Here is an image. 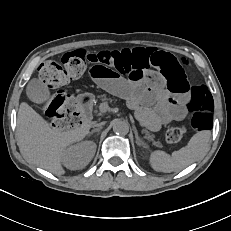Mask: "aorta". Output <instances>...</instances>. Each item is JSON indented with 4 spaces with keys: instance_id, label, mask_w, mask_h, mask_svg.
<instances>
[{
    "instance_id": "1",
    "label": "aorta",
    "mask_w": 231,
    "mask_h": 231,
    "mask_svg": "<svg viewBox=\"0 0 231 231\" xmlns=\"http://www.w3.org/2000/svg\"><path fill=\"white\" fill-rule=\"evenodd\" d=\"M113 131L116 134L126 135L129 132V125L125 121L116 119L113 121Z\"/></svg>"
}]
</instances>
